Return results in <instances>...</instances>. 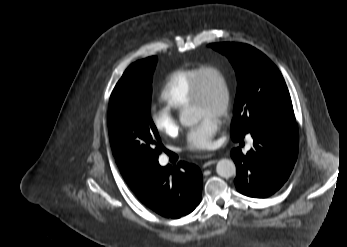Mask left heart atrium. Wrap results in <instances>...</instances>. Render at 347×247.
Returning <instances> with one entry per match:
<instances>
[{
	"instance_id": "left-heart-atrium-1",
	"label": "left heart atrium",
	"mask_w": 347,
	"mask_h": 247,
	"mask_svg": "<svg viewBox=\"0 0 347 247\" xmlns=\"http://www.w3.org/2000/svg\"><path fill=\"white\" fill-rule=\"evenodd\" d=\"M220 129L215 116H204L200 122L191 127L186 136V146L190 150L201 151L212 147L213 139Z\"/></svg>"
}]
</instances>
